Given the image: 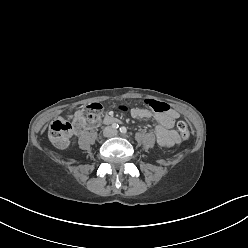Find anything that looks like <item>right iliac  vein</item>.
Here are the masks:
<instances>
[{"label":"right iliac vein","mask_w":248,"mask_h":248,"mask_svg":"<svg viewBox=\"0 0 248 248\" xmlns=\"http://www.w3.org/2000/svg\"><path fill=\"white\" fill-rule=\"evenodd\" d=\"M103 136H104V137H109V136H111V131H110L109 129L105 130V131L103 132Z\"/></svg>","instance_id":"63e3f726"}]
</instances>
